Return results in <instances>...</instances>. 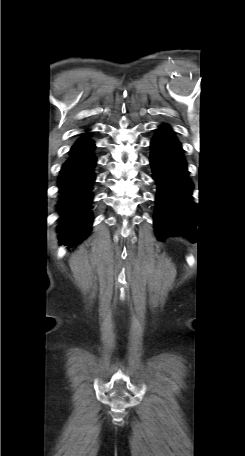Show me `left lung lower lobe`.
Returning a JSON list of instances; mask_svg holds the SVG:
<instances>
[{
  "label": "left lung lower lobe",
  "instance_id": "0a47b994",
  "mask_svg": "<svg viewBox=\"0 0 245 456\" xmlns=\"http://www.w3.org/2000/svg\"><path fill=\"white\" fill-rule=\"evenodd\" d=\"M150 163L157 183L154 225L156 236L195 235V206L191 201L193 184L180 142L172 129L162 125L151 141Z\"/></svg>",
  "mask_w": 245,
  "mask_h": 456
}]
</instances>
